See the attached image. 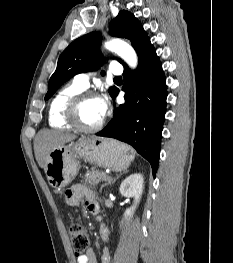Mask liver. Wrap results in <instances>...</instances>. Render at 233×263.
I'll use <instances>...</instances> for the list:
<instances>
[{"label":"liver","instance_id":"obj_1","mask_svg":"<svg viewBox=\"0 0 233 263\" xmlns=\"http://www.w3.org/2000/svg\"><path fill=\"white\" fill-rule=\"evenodd\" d=\"M74 139H76L74 134L55 130H41L34 140V152L38 165L44 168L51 151Z\"/></svg>","mask_w":233,"mask_h":263}]
</instances>
